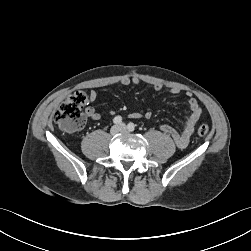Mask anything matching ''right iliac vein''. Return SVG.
I'll list each match as a JSON object with an SVG mask.
<instances>
[{"label":"right iliac vein","mask_w":251,"mask_h":251,"mask_svg":"<svg viewBox=\"0 0 251 251\" xmlns=\"http://www.w3.org/2000/svg\"><path fill=\"white\" fill-rule=\"evenodd\" d=\"M120 131H121L120 126H119V125H114V126L111 128L110 133H111V135L114 136V135L118 134Z\"/></svg>","instance_id":"right-iliac-vein-1"}]
</instances>
